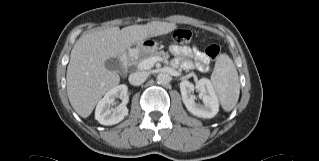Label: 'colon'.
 <instances>
[{"label": "colon", "instance_id": "5ec220e1", "mask_svg": "<svg viewBox=\"0 0 319 161\" xmlns=\"http://www.w3.org/2000/svg\"><path fill=\"white\" fill-rule=\"evenodd\" d=\"M193 33L190 29H178L173 33V39L177 43H188L192 40ZM205 55L210 59H216L220 54V47L217 44H210L204 49Z\"/></svg>", "mask_w": 319, "mask_h": 161}]
</instances>
